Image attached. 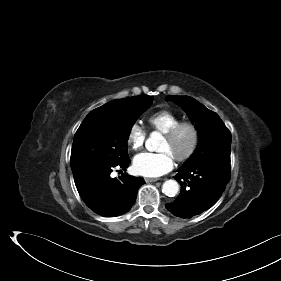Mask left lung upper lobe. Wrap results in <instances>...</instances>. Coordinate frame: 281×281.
<instances>
[{
  "label": "left lung upper lobe",
  "instance_id": "5c2ea615",
  "mask_svg": "<svg viewBox=\"0 0 281 281\" xmlns=\"http://www.w3.org/2000/svg\"><path fill=\"white\" fill-rule=\"evenodd\" d=\"M181 105L199 133V146L184 165L206 160L230 161L231 133L220 117L189 96L168 95L166 101Z\"/></svg>",
  "mask_w": 281,
  "mask_h": 281
}]
</instances>
